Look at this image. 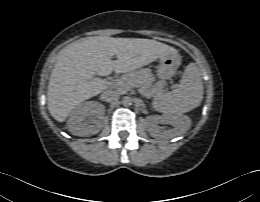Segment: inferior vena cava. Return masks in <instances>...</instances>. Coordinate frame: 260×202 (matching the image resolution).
<instances>
[{
    "label": "inferior vena cava",
    "instance_id": "1",
    "mask_svg": "<svg viewBox=\"0 0 260 202\" xmlns=\"http://www.w3.org/2000/svg\"><path fill=\"white\" fill-rule=\"evenodd\" d=\"M102 97L107 102L116 103L119 100L120 93L116 90H106L103 92Z\"/></svg>",
    "mask_w": 260,
    "mask_h": 202
}]
</instances>
